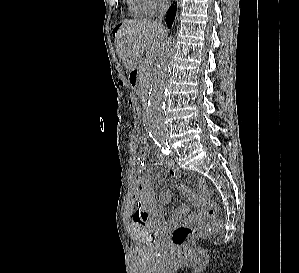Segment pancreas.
Segmentation results:
<instances>
[{
    "label": "pancreas",
    "mask_w": 299,
    "mask_h": 273,
    "mask_svg": "<svg viewBox=\"0 0 299 273\" xmlns=\"http://www.w3.org/2000/svg\"><path fill=\"white\" fill-rule=\"evenodd\" d=\"M152 75V69L148 63L142 62L140 64V82H139V91L143 92L147 89L149 81Z\"/></svg>",
    "instance_id": "cf45deb5"
}]
</instances>
